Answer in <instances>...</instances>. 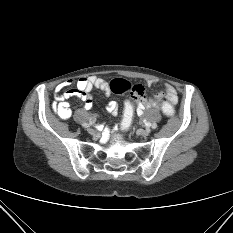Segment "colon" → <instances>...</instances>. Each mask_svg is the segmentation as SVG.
Segmentation results:
<instances>
[{
	"label": "colon",
	"mask_w": 233,
	"mask_h": 233,
	"mask_svg": "<svg viewBox=\"0 0 233 233\" xmlns=\"http://www.w3.org/2000/svg\"><path fill=\"white\" fill-rule=\"evenodd\" d=\"M111 91L115 94H122V93H130V99L124 103L123 113H122V120H121V129L123 131L129 130L135 112V102L145 100L146 98V91L145 88L140 84H131L130 82L123 80V79H114L110 82ZM162 101H164L163 97H160ZM162 111L167 116H172L173 114V107L164 103L161 106Z\"/></svg>",
	"instance_id": "5ec220e1"
}]
</instances>
